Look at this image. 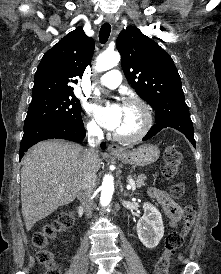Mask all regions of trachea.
I'll return each mask as SVG.
<instances>
[{"label": "trachea", "mask_w": 221, "mask_h": 274, "mask_svg": "<svg viewBox=\"0 0 221 274\" xmlns=\"http://www.w3.org/2000/svg\"><path fill=\"white\" fill-rule=\"evenodd\" d=\"M111 32V25L109 23H104L101 26L100 32H99V40L102 44H105L109 38Z\"/></svg>", "instance_id": "trachea-1"}]
</instances>
